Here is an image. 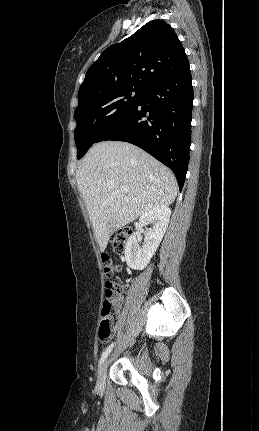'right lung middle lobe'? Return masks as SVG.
Returning a JSON list of instances; mask_svg holds the SVG:
<instances>
[{"instance_id": "dd1d6c3e", "label": "right lung middle lobe", "mask_w": 259, "mask_h": 431, "mask_svg": "<svg viewBox=\"0 0 259 431\" xmlns=\"http://www.w3.org/2000/svg\"><path fill=\"white\" fill-rule=\"evenodd\" d=\"M145 89L125 87L90 96L79 103L74 116L77 158L88 149L141 99Z\"/></svg>"}]
</instances>
